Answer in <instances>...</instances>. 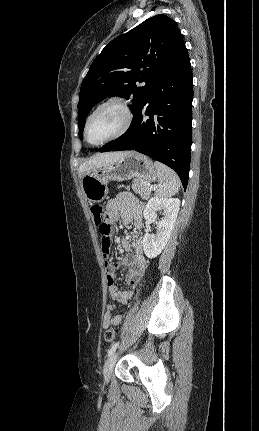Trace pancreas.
Segmentation results:
<instances>
[{"label": "pancreas", "instance_id": "pancreas-1", "mask_svg": "<svg viewBox=\"0 0 259 431\" xmlns=\"http://www.w3.org/2000/svg\"><path fill=\"white\" fill-rule=\"evenodd\" d=\"M132 189L135 193L139 194L142 199L147 200L150 197L151 190L147 186V182L135 179L132 182Z\"/></svg>", "mask_w": 259, "mask_h": 431}]
</instances>
